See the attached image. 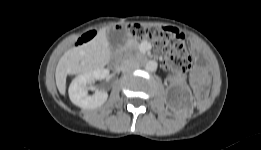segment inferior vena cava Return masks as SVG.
I'll return each instance as SVG.
<instances>
[{"mask_svg": "<svg viewBox=\"0 0 261 150\" xmlns=\"http://www.w3.org/2000/svg\"><path fill=\"white\" fill-rule=\"evenodd\" d=\"M138 67H139L138 63L133 60H125L121 63L122 72H128Z\"/></svg>", "mask_w": 261, "mask_h": 150, "instance_id": "obj_1", "label": "inferior vena cava"}]
</instances>
